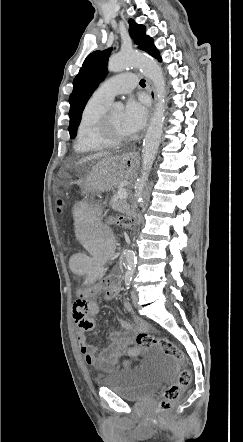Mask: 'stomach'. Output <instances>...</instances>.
Returning <instances> with one entry per match:
<instances>
[{"label": "stomach", "mask_w": 243, "mask_h": 442, "mask_svg": "<svg viewBox=\"0 0 243 442\" xmlns=\"http://www.w3.org/2000/svg\"><path fill=\"white\" fill-rule=\"evenodd\" d=\"M136 164L133 154L104 158L86 175L81 188L85 193L110 191L134 173Z\"/></svg>", "instance_id": "0dacf381"}]
</instances>
